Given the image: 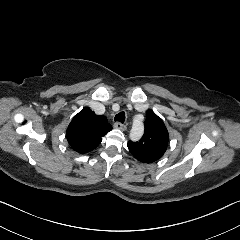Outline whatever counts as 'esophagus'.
<instances>
[{"mask_svg":"<svg viewBox=\"0 0 240 240\" xmlns=\"http://www.w3.org/2000/svg\"><path fill=\"white\" fill-rule=\"evenodd\" d=\"M114 128L122 130V131H125L127 129V127L121 122L114 123Z\"/></svg>","mask_w":240,"mask_h":240,"instance_id":"34e87169","label":"esophagus"}]
</instances>
